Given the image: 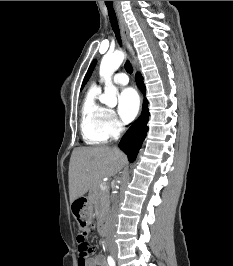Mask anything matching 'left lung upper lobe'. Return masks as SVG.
<instances>
[{
	"instance_id": "1",
	"label": "left lung upper lobe",
	"mask_w": 233,
	"mask_h": 266,
	"mask_svg": "<svg viewBox=\"0 0 233 266\" xmlns=\"http://www.w3.org/2000/svg\"><path fill=\"white\" fill-rule=\"evenodd\" d=\"M96 61H93V63L91 64V66L89 67V70L84 78L83 84H82V88L84 87V85L86 84V82L88 81V79L90 78L92 71L95 67Z\"/></svg>"
}]
</instances>
